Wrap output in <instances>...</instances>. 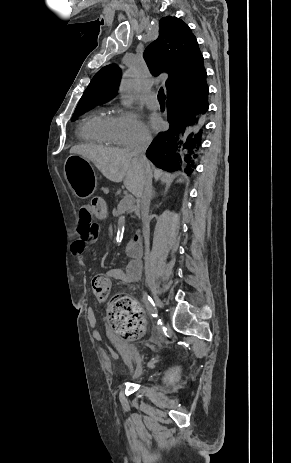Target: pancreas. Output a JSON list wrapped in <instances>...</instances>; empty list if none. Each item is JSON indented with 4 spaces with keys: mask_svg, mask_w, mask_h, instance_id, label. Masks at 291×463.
<instances>
[{
    "mask_svg": "<svg viewBox=\"0 0 291 463\" xmlns=\"http://www.w3.org/2000/svg\"><path fill=\"white\" fill-rule=\"evenodd\" d=\"M113 191H114L115 197H117V198H118V197L123 198V195H122V192H121L120 189L114 188Z\"/></svg>",
    "mask_w": 291,
    "mask_h": 463,
    "instance_id": "obj_1",
    "label": "pancreas"
}]
</instances>
